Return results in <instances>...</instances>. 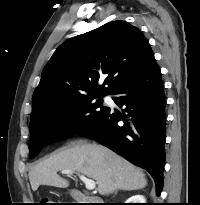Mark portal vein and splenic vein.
Returning a JSON list of instances; mask_svg holds the SVG:
<instances>
[{
    "label": "portal vein and splenic vein",
    "instance_id": "portal-vein-and-splenic-vein-1",
    "mask_svg": "<svg viewBox=\"0 0 200 205\" xmlns=\"http://www.w3.org/2000/svg\"><path fill=\"white\" fill-rule=\"evenodd\" d=\"M63 174H72L73 172L70 170H62L61 171ZM79 178L84 182L85 187L87 190H94L96 183L94 180L86 178L84 175L79 174Z\"/></svg>",
    "mask_w": 200,
    "mask_h": 205
}]
</instances>
